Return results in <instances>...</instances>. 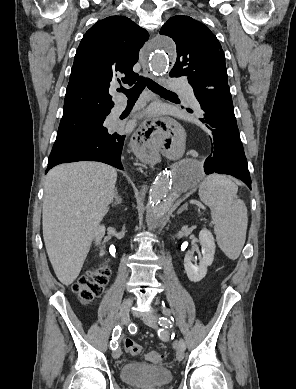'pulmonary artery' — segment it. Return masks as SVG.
I'll return each mask as SVG.
<instances>
[{
	"label": "pulmonary artery",
	"mask_w": 296,
	"mask_h": 389,
	"mask_svg": "<svg viewBox=\"0 0 296 389\" xmlns=\"http://www.w3.org/2000/svg\"><path fill=\"white\" fill-rule=\"evenodd\" d=\"M169 88L181 92L188 105L192 106L197 110L200 109V104L197 101L192 88L188 84L180 80H170ZM124 108H125V103L123 101H120L113 110L114 115H119L124 110Z\"/></svg>",
	"instance_id": "1"
}]
</instances>
